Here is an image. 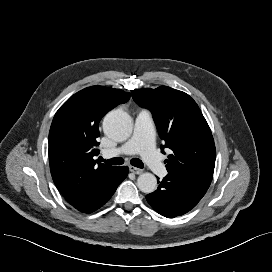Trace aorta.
Masks as SVG:
<instances>
[{
  "mask_svg": "<svg viewBox=\"0 0 272 272\" xmlns=\"http://www.w3.org/2000/svg\"><path fill=\"white\" fill-rule=\"evenodd\" d=\"M103 130L109 138L124 141L132 132L131 118L124 111H110L103 120ZM137 186L144 193H152L157 188V179L152 173H143L137 179Z\"/></svg>",
  "mask_w": 272,
  "mask_h": 272,
  "instance_id": "obj_1",
  "label": "aorta"
}]
</instances>
